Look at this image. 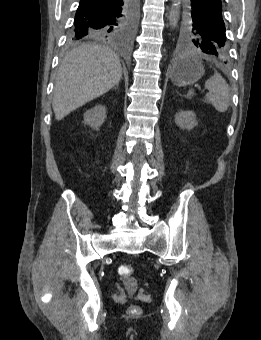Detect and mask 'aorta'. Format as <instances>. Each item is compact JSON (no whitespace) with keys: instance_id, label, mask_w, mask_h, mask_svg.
Masks as SVG:
<instances>
[{"instance_id":"aorta-1","label":"aorta","mask_w":261,"mask_h":340,"mask_svg":"<svg viewBox=\"0 0 261 340\" xmlns=\"http://www.w3.org/2000/svg\"><path fill=\"white\" fill-rule=\"evenodd\" d=\"M171 8L169 12V25L173 29L177 26L180 14V3L181 0H171Z\"/></svg>"}]
</instances>
